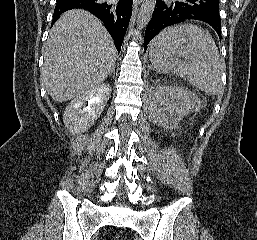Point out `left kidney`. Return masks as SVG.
Returning a JSON list of instances; mask_svg holds the SVG:
<instances>
[{"mask_svg":"<svg viewBox=\"0 0 257 240\" xmlns=\"http://www.w3.org/2000/svg\"><path fill=\"white\" fill-rule=\"evenodd\" d=\"M200 99L179 86H159L154 89L150 102L151 120L166 128H175L187 114L197 111Z\"/></svg>","mask_w":257,"mask_h":240,"instance_id":"obj_1","label":"left kidney"}]
</instances>
